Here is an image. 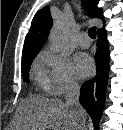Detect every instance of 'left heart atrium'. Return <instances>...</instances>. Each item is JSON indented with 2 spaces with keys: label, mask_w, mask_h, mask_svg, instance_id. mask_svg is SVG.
<instances>
[{
  "label": "left heart atrium",
  "mask_w": 123,
  "mask_h": 130,
  "mask_svg": "<svg viewBox=\"0 0 123 130\" xmlns=\"http://www.w3.org/2000/svg\"><path fill=\"white\" fill-rule=\"evenodd\" d=\"M74 68L79 77L84 78L90 75L94 68L92 58L86 53H78L73 59Z\"/></svg>",
  "instance_id": "39dd6f15"
}]
</instances>
